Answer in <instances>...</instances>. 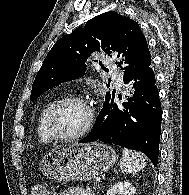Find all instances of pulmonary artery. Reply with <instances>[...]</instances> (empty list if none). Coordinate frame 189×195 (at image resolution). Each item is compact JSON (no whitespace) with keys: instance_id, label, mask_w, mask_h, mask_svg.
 Returning <instances> with one entry per match:
<instances>
[{"instance_id":"pulmonary-artery-1","label":"pulmonary artery","mask_w":189,"mask_h":195,"mask_svg":"<svg viewBox=\"0 0 189 195\" xmlns=\"http://www.w3.org/2000/svg\"><path fill=\"white\" fill-rule=\"evenodd\" d=\"M116 83L119 85V86H121V79H119V78H116Z\"/></svg>"}]
</instances>
